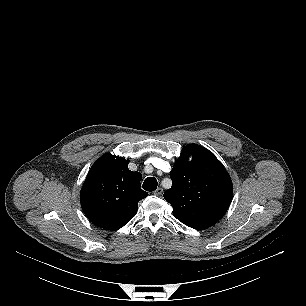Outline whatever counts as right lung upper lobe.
I'll list each match as a JSON object with an SVG mask.
<instances>
[{
    "instance_id": "1",
    "label": "right lung upper lobe",
    "mask_w": 306,
    "mask_h": 306,
    "mask_svg": "<svg viewBox=\"0 0 306 306\" xmlns=\"http://www.w3.org/2000/svg\"><path fill=\"white\" fill-rule=\"evenodd\" d=\"M129 161L107 153L91 167L80 193L82 209L96 226L117 230L136 214L148 196L140 188L142 175L128 169Z\"/></svg>"
}]
</instances>
